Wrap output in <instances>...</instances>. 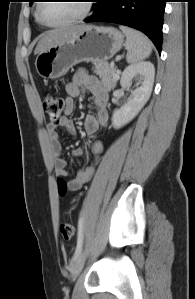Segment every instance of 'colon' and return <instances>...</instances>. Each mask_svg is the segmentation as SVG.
<instances>
[{"label": "colon", "instance_id": "obj_1", "mask_svg": "<svg viewBox=\"0 0 195 299\" xmlns=\"http://www.w3.org/2000/svg\"><path fill=\"white\" fill-rule=\"evenodd\" d=\"M42 107L49 120L53 123H58L62 118V113L65 107V102L62 97L47 94L42 100ZM68 184L64 179L58 180V191L61 196L68 192ZM74 225L70 222L62 223L60 232L65 239H70L74 235Z\"/></svg>", "mask_w": 195, "mask_h": 299}]
</instances>
